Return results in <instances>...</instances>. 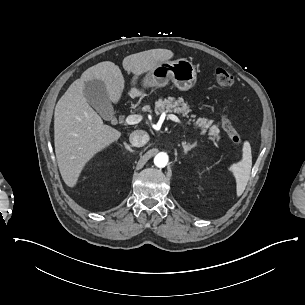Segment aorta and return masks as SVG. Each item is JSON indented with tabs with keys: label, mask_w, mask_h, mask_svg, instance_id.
Returning a JSON list of instances; mask_svg holds the SVG:
<instances>
[{
	"label": "aorta",
	"mask_w": 305,
	"mask_h": 305,
	"mask_svg": "<svg viewBox=\"0 0 305 305\" xmlns=\"http://www.w3.org/2000/svg\"><path fill=\"white\" fill-rule=\"evenodd\" d=\"M168 155L165 152H160L154 157V164L158 168H164L168 164Z\"/></svg>",
	"instance_id": "obj_1"
}]
</instances>
